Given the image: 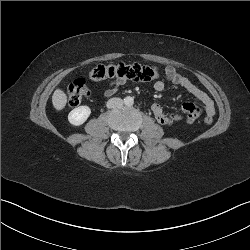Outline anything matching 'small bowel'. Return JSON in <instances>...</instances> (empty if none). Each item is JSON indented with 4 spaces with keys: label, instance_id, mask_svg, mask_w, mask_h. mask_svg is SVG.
Instances as JSON below:
<instances>
[{
    "label": "small bowel",
    "instance_id": "small-bowel-1",
    "mask_svg": "<svg viewBox=\"0 0 250 250\" xmlns=\"http://www.w3.org/2000/svg\"><path fill=\"white\" fill-rule=\"evenodd\" d=\"M165 77L173 85L184 88L187 92L193 95L197 100L200 101L201 107L194 103H184L181 108V112H164L162 106L159 103H154L151 106L152 113L156 120L166 126H171L175 123L185 122L188 124L193 123L201 114L205 112L206 115L213 116L215 114V107L213 100L209 95L193 84L187 77L182 73L178 72L173 66H167L165 68ZM126 83L123 79H114L109 83L108 89L105 91L106 95H113L116 93L122 85ZM165 83L162 80H158L154 83V89L157 92L163 91Z\"/></svg>",
    "mask_w": 250,
    "mask_h": 250
}]
</instances>
